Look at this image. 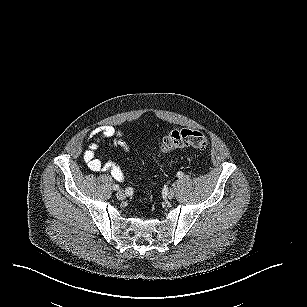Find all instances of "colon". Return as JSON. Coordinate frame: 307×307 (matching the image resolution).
<instances>
[{
    "mask_svg": "<svg viewBox=\"0 0 307 307\" xmlns=\"http://www.w3.org/2000/svg\"><path fill=\"white\" fill-rule=\"evenodd\" d=\"M209 140L205 134L191 129H175L167 134L159 145L161 153H168L174 149L193 147L206 149Z\"/></svg>",
    "mask_w": 307,
    "mask_h": 307,
    "instance_id": "colon-1",
    "label": "colon"
}]
</instances>
